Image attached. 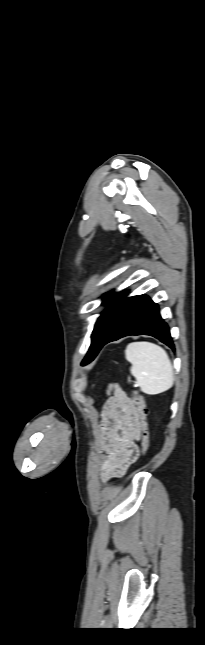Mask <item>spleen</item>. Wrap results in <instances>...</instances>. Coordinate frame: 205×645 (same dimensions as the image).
<instances>
[{
    "instance_id": "1",
    "label": "spleen",
    "mask_w": 205,
    "mask_h": 645,
    "mask_svg": "<svg viewBox=\"0 0 205 645\" xmlns=\"http://www.w3.org/2000/svg\"><path fill=\"white\" fill-rule=\"evenodd\" d=\"M125 357L143 393L157 395L173 386V367L162 347L151 342H133L127 345Z\"/></svg>"
}]
</instances>
